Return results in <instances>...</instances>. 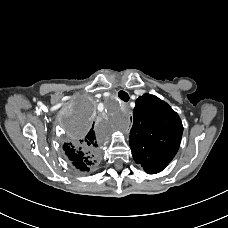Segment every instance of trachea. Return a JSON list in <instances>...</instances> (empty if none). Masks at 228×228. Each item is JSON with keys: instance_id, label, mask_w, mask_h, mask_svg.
Masks as SVG:
<instances>
[{"instance_id": "1", "label": "trachea", "mask_w": 228, "mask_h": 228, "mask_svg": "<svg viewBox=\"0 0 228 228\" xmlns=\"http://www.w3.org/2000/svg\"><path fill=\"white\" fill-rule=\"evenodd\" d=\"M118 97L124 102H128L129 101V95L125 91H119L118 92Z\"/></svg>"}]
</instances>
